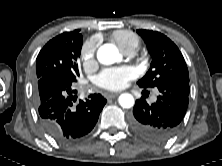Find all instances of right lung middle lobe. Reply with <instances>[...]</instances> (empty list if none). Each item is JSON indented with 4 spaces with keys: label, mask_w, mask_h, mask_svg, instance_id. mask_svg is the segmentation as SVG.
<instances>
[{
    "label": "right lung middle lobe",
    "mask_w": 222,
    "mask_h": 166,
    "mask_svg": "<svg viewBox=\"0 0 222 166\" xmlns=\"http://www.w3.org/2000/svg\"><path fill=\"white\" fill-rule=\"evenodd\" d=\"M79 30L65 32L50 40L36 59V77L49 73H61L76 81L79 76L78 58L82 48Z\"/></svg>",
    "instance_id": "right-lung-middle-lobe-1"
}]
</instances>
